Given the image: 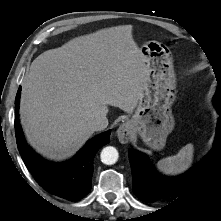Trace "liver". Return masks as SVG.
Masks as SVG:
<instances>
[{"label":"liver","mask_w":221,"mask_h":221,"mask_svg":"<svg viewBox=\"0 0 221 221\" xmlns=\"http://www.w3.org/2000/svg\"><path fill=\"white\" fill-rule=\"evenodd\" d=\"M132 26L99 30L40 54L22 84L21 124L43 156L63 160L93 134L96 115L132 113L149 82Z\"/></svg>","instance_id":"1"}]
</instances>
